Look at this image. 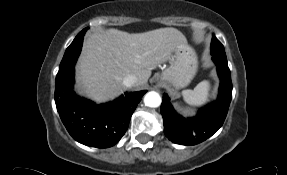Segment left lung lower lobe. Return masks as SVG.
I'll list each match as a JSON object with an SVG mask.
<instances>
[{
    "mask_svg": "<svg viewBox=\"0 0 287 175\" xmlns=\"http://www.w3.org/2000/svg\"><path fill=\"white\" fill-rule=\"evenodd\" d=\"M212 54V53H211ZM220 78L219 95L216 102L202 108L197 116L184 118L178 115L167 94L163 95L161 114L164 133L174 143L195 145L203 142L222 126L232 99V82L227 58L212 54Z\"/></svg>",
    "mask_w": 287,
    "mask_h": 175,
    "instance_id": "obj_1",
    "label": "left lung lower lobe"
}]
</instances>
